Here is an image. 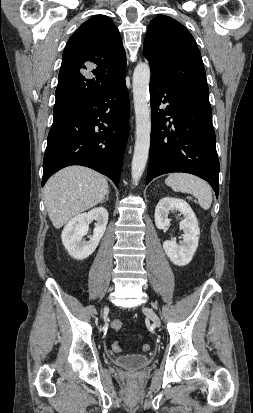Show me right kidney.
Listing matches in <instances>:
<instances>
[{
	"label": "right kidney",
	"instance_id": "1",
	"mask_svg": "<svg viewBox=\"0 0 253 413\" xmlns=\"http://www.w3.org/2000/svg\"><path fill=\"white\" fill-rule=\"evenodd\" d=\"M95 220L96 226L90 241H82L83 236L88 233L89 224ZM108 223V212L103 207H97L87 213L78 214L73 217L64 227L61 239L64 247L71 257L83 260L89 257L97 248L100 239L103 237Z\"/></svg>",
	"mask_w": 253,
	"mask_h": 413
}]
</instances>
